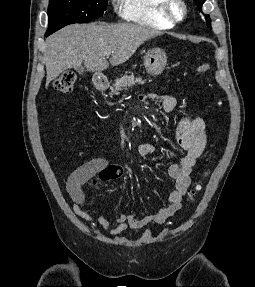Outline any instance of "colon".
<instances>
[{"instance_id": "1", "label": "colon", "mask_w": 255, "mask_h": 287, "mask_svg": "<svg viewBox=\"0 0 255 287\" xmlns=\"http://www.w3.org/2000/svg\"><path fill=\"white\" fill-rule=\"evenodd\" d=\"M209 70H210V66L208 63H201L196 68V71L199 74H205ZM75 79H76V76L74 72L65 71L55 80L54 89L57 92H60L63 94H69L74 89ZM197 190H198V185H196L195 188L190 192L189 197L193 198Z\"/></svg>"}]
</instances>
